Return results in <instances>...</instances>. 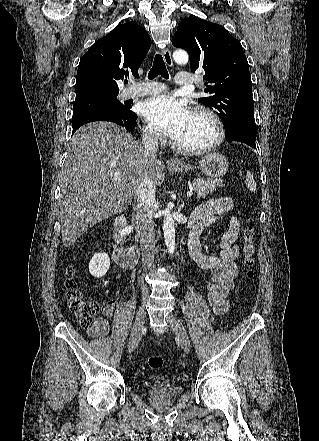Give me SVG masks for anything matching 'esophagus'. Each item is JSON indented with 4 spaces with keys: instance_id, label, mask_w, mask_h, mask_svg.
Returning <instances> with one entry per match:
<instances>
[{
    "instance_id": "34e87169",
    "label": "esophagus",
    "mask_w": 319,
    "mask_h": 441,
    "mask_svg": "<svg viewBox=\"0 0 319 441\" xmlns=\"http://www.w3.org/2000/svg\"><path fill=\"white\" fill-rule=\"evenodd\" d=\"M163 58H164V61H165L167 66L173 67L174 63H173V60H172V57H171V52H170V50L168 48H165L163 50ZM169 163L171 165H180L181 161L178 160V159L172 158V159H170Z\"/></svg>"
}]
</instances>
